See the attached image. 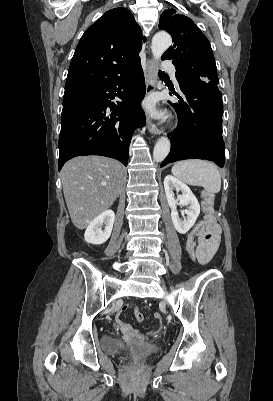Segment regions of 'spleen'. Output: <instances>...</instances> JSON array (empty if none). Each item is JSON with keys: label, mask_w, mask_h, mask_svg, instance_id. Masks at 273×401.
I'll list each match as a JSON object with an SVG mask.
<instances>
[{"label": "spleen", "mask_w": 273, "mask_h": 401, "mask_svg": "<svg viewBox=\"0 0 273 401\" xmlns=\"http://www.w3.org/2000/svg\"><path fill=\"white\" fill-rule=\"evenodd\" d=\"M172 174L187 184L204 186L210 194L219 192L221 188V174L217 166L209 160H198V158L179 160L172 166Z\"/></svg>", "instance_id": "3e777b00"}]
</instances>
